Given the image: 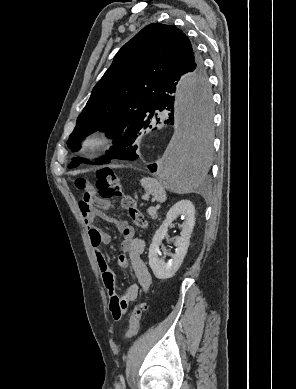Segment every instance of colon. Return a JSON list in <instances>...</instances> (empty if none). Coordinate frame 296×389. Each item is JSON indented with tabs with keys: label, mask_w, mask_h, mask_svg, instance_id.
<instances>
[{
	"label": "colon",
	"mask_w": 296,
	"mask_h": 389,
	"mask_svg": "<svg viewBox=\"0 0 296 389\" xmlns=\"http://www.w3.org/2000/svg\"><path fill=\"white\" fill-rule=\"evenodd\" d=\"M76 188L87 194L93 190V186L85 178H77L75 181ZM95 187L99 197L106 201L119 199L121 206L130 215L134 224L145 229L147 221L143 213L138 209L136 201L128 194L124 193L122 186L115 172L110 168L99 169L96 173ZM147 309L145 302H138L131 313L129 329L125 333V338H133L138 334L142 313ZM122 317L119 311L114 312L113 318L118 321Z\"/></svg>",
	"instance_id": "colon-1"
}]
</instances>
